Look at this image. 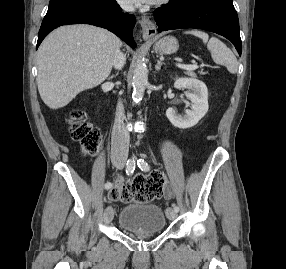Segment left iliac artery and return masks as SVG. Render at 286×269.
Returning <instances> with one entry per match:
<instances>
[{"label": "left iliac artery", "mask_w": 286, "mask_h": 269, "mask_svg": "<svg viewBox=\"0 0 286 269\" xmlns=\"http://www.w3.org/2000/svg\"><path fill=\"white\" fill-rule=\"evenodd\" d=\"M137 165L142 171H149L150 169L149 164L146 161H144V159H138ZM172 206L176 212L179 211V207L177 205L173 204Z\"/></svg>", "instance_id": "obj_1"}]
</instances>
